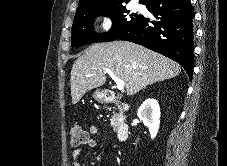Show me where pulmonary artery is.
Returning a JSON list of instances; mask_svg holds the SVG:
<instances>
[{"instance_id":"1","label":"pulmonary artery","mask_w":227,"mask_h":166,"mask_svg":"<svg viewBox=\"0 0 227 166\" xmlns=\"http://www.w3.org/2000/svg\"><path fill=\"white\" fill-rule=\"evenodd\" d=\"M135 8L136 9H140L141 7L139 5H135Z\"/></svg>"}]
</instances>
